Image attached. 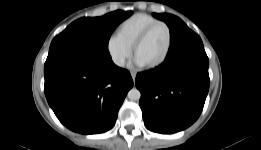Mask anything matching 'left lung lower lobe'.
Wrapping results in <instances>:
<instances>
[{
  "label": "left lung lower lobe",
  "mask_w": 261,
  "mask_h": 150,
  "mask_svg": "<svg viewBox=\"0 0 261 150\" xmlns=\"http://www.w3.org/2000/svg\"><path fill=\"white\" fill-rule=\"evenodd\" d=\"M208 66L202 40L189 29L171 42L161 65L137 74L140 107L149 130L175 133L198 119L209 89Z\"/></svg>",
  "instance_id": "1"
}]
</instances>
